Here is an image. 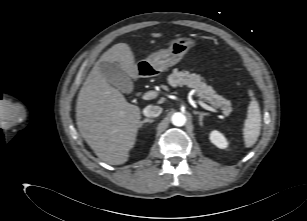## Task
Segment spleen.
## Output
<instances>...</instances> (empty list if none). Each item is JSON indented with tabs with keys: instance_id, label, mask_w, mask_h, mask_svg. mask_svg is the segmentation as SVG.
Returning a JSON list of instances; mask_svg holds the SVG:
<instances>
[{
	"instance_id": "obj_1",
	"label": "spleen",
	"mask_w": 307,
	"mask_h": 221,
	"mask_svg": "<svg viewBox=\"0 0 307 221\" xmlns=\"http://www.w3.org/2000/svg\"><path fill=\"white\" fill-rule=\"evenodd\" d=\"M249 96L251 97V101L248 106L247 119L244 122L243 128V138L247 148L252 147L256 143L261 130V112L259 103L254 97L252 90H249Z\"/></svg>"
}]
</instances>
